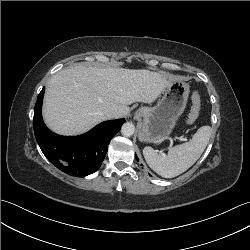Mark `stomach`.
<instances>
[{"label": "stomach", "instance_id": "stomach-1", "mask_svg": "<svg viewBox=\"0 0 250 250\" xmlns=\"http://www.w3.org/2000/svg\"><path fill=\"white\" fill-rule=\"evenodd\" d=\"M188 96L189 85L176 80L166 88L156 106L141 107L137 111V115L143 119L139 140L158 143L167 139L186 107Z\"/></svg>", "mask_w": 250, "mask_h": 250}]
</instances>
